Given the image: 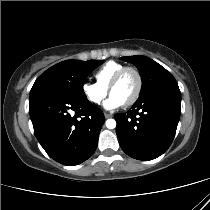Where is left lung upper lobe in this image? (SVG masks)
Here are the masks:
<instances>
[{
    "mask_svg": "<svg viewBox=\"0 0 210 210\" xmlns=\"http://www.w3.org/2000/svg\"><path fill=\"white\" fill-rule=\"evenodd\" d=\"M121 59L133 63L140 72L142 89L139 98L157 89L177 85L175 78L170 72L148 57L137 55L121 57Z\"/></svg>",
    "mask_w": 210,
    "mask_h": 210,
    "instance_id": "1",
    "label": "left lung upper lobe"
}]
</instances>
